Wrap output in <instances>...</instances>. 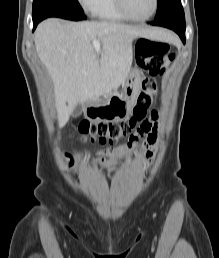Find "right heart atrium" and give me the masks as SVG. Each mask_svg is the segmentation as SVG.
<instances>
[{"instance_id":"1","label":"right heart atrium","mask_w":219,"mask_h":258,"mask_svg":"<svg viewBox=\"0 0 219 258\" xmlns=\"http://www.w3.org/2000/svg\"><path fill=\"white\" fill-rule=\"evenodd\" d=\"M98 0H78L83 9L87 12H92Z\"/></svg>"}]
</instances>
